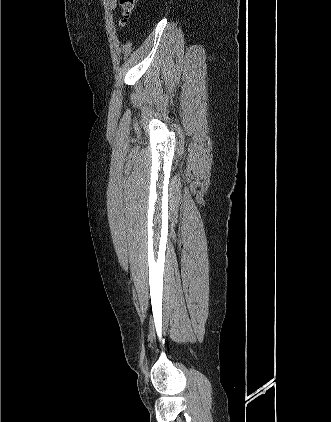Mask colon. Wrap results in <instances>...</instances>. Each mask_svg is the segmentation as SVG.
I'll use <instances>...</instances> for the list:
<instances>
[{
    "instance_id": "colon-1",
    "label": "colon",
    "mask_w": 331,
    "mask_h": 422,
    "mask_svg": "<svg viewBox=\"0 0 331 422\" xmlns=\"http://www.w3.org/2000/svg\"><path fill=\"white\" fill-rule=\"evenodd\" d=\"M121 7V18L119 24L125 26L136 7L137 0H119Z\"/></svg>"
}]
</instances>
